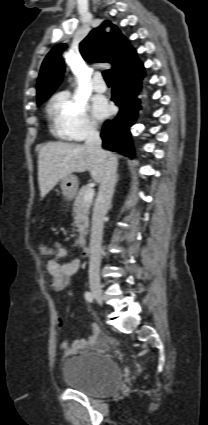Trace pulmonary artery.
<instances>
[{"label": "pulmonary artery", "instance_id": "obj_1", "mask_svg": "<svg viewBox=\"0 0 208 425\" xmlns=\"http://www.w3.org/2000/svg\"><path fill=\"white\" fill-rule=\"evenodd\" d=\"M92 87L96 92H105L107 89L106 83L103 81L102 76L96 73L92 80Z\"/></svg>", "mask_w": 208, "mask_h": 425}]
</instances>
